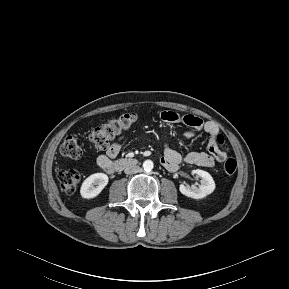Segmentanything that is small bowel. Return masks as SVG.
I'll list each match as a JSON object with an SVG mask.
<instances>
[{
  "instance_id": "small-bowel-1",
  "label": "small bowel",
  "mask_w": 289,
  "mask_h": 289,
  "mask_svg": "<svg viewBox=\"0 0 289 289\" xmlns=\"http://www.w3.org/2000/svg\"><path fill=\"white\" fill-rule=\"evenodd\" d=\"M160 119L163 123L169 125H184L187 127L184 133L186 140H191L198 131H204L210 136L208 152L193 151L185 155L172 149L168 143H164L163 155L160 159L162 166L170 172L178 171L183 165H194L205 168H212L215 161L222 162L226 159V150L216 144V137L219 133L217 125L212 121L203 122L194 115H179L174 111H162ZM124 135L121 134L117 141L112 143L105 154L97 157V164L100 168L106 169L113 160L120 154L122 149V140Z\"/></svg>"
}]
</instances>
